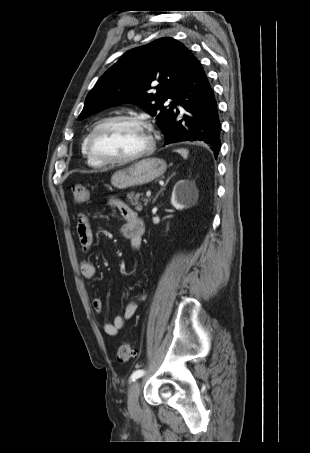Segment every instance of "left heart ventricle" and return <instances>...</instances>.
I'll return each mask as SVG.
<instances>
[{
  "instance_id": "obj_1",
  "label": "left heart ventricle",
  "mask_w": 310,
  "mask_h": 453,
  "mask_svg": "<svg viewBox=\"0 0 310 453\" xmlns=\"http://www.w3.org/2000/svg\"><path fill=\"white\" fill-rule=\"evenodd\" d=\"M148 145L144 128L131 122H116L101 129L94 138L96 151L110 158L131 156Z\"/></svg>"
}]
</instances>
